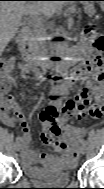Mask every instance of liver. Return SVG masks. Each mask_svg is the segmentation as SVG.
Masks as SVG:
<instances>
[{
    "label": "liver",
    "instance_id": "obj_1",
    "mask_svg": "<svg viewBox=\"0 0 104 189\" xmlns=\"http://www.w3.org/2000/svg\"><path fill=\"white\" fill-rule=\"evenodd\" d=\"M62 4L60 2L1 1L0 3V46L4 49L16 35L20 21L25 14L39 11L52 12Z\"/></svg>",
    "mask_w": 104,
    "mask_h": 189
}]
</instances>
